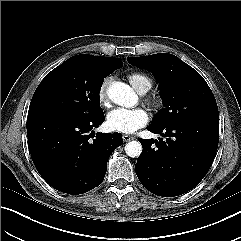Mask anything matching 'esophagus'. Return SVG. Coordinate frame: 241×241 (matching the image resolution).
<instances>
[{
  "label": "esophagus",
  "instance_id": "esophagus-1",
  "mask_svg": "<svg viewBox=\"0 0 241 241\" xmlns=\"http://www.w3.org/2000/svg\"><path fill=\"white\" fill-rule=\"evenodd\" d=\"M122 138H123V140H124L125 142H128V141H130V140H134V139H135L134 136L127 135V134H124V135L122 136Z\"/></svg>",
  "mask_w": 241,
  "mask_h": 241
}]
</instances>
